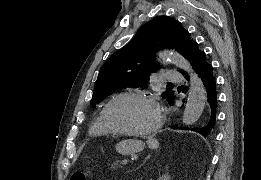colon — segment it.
I'll return each mask as SVG.
<instances>
[{"instance_id": "obj_1", "label": "colon", "mask_w": 261, "mask_h": 180, "mask_svg": "<svg viewBox=\"0 0 261 180\" xmlns=\"http://www.w3.org/2000/svg\"><path fill=\"white\" fill-rule=\"evenodd\" d=\"M72 180H85V174L82 172H75L72 175Z\"/></svg>"}]
</instances>
